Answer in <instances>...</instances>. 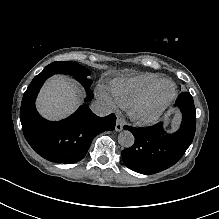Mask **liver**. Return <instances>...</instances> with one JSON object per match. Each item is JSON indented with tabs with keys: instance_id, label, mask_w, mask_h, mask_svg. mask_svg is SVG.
Instances as JSON below:
<instances>
[{
	"instance_id": "obj_1",
	"label": "liver",
	"mask_w": 219,
	"mask_h": 219,
	"mask_svg": "<svg viewBox=\"0 0 219 219\" xmlns=\"http://www.w3.org/2000/svg\"><path fill=\"white\" fill-rule=\"evenodd\" d=\"M79 89L64 77L54 76L41 89L36 106L48 120H58L73 113L79 104Z\"/></svg>"
}]
</instances>
